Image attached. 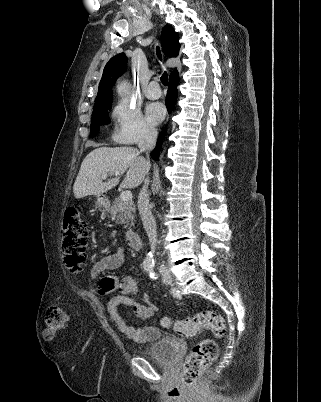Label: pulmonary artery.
<instances>
[{
  "label": "pulmonary artery",
  "instance_id": "1",
  "mask_svg": "<svg viewBox=\"0 0 321 402\" xmlns=\"http://www.w3.org/2000/svg\"><path fill=\"white\" fill-rule=\"evenodd\" d=\"M145 95L148 99L154 100L161 96V90L157 80H153L149 83Z\"/></svg>",
  "mask_w": 321,
  "mask_h": 402
}]
</instances>
